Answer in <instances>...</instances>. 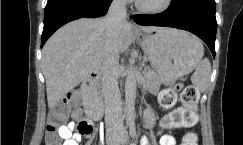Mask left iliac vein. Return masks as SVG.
Listing matches in <instances>:
<instances>
[{"instance_id":"left-iliac-vein-1","label":"left iliac vein","mask_w":243,"mask_h":145,"mask_svg":"<svg viewBox=\"0 0 243 145\" xmlns=\"http://www.w3.org/2000/svg\"><path fill=\"white\" fill-rule=\"evenodd\" d=\"M119 140H121L122 145H127L128 143V136L126 130L123 128L119 137Z\"/></svg>"}]
</instances>
